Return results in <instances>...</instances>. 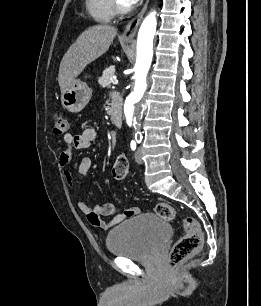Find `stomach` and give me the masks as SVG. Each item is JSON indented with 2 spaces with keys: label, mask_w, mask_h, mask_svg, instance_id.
Instances as JSON below:
<instances>
[{
  "label": "stomach",
  "mask_w": 261,
  "mask_h": 306,
  "mask_svg": "<svg viewBox=\"0 0 261 306\" xmlns=\"http://www.w3.org/2000/svg\"><path fill=\"white\" fill-rule=\"evenodd\" d=\"M92 96V89L87 83L76 79L61 94V102L65 109L72 113L82 111Z\"/></svg>",
  "instance_id": "0dacf381"
}]
</instances>
